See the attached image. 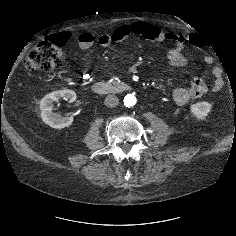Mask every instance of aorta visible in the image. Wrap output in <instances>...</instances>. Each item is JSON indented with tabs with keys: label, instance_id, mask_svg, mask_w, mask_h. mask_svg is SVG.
<instances>
[{
	"label": "aorta",
	"instance_id": "762f6f07",
	"mask_svg": "<svg viewBox=\"0 0 236 236\" xmlns=\"http://www.w3.org/2000/svg\"><path fill=\"white\" fill-rule=\"evenodd\" d=\"M123 102L126 107H133L137 102V98L134 94H127Z\"/></svg>",
	"mask_w": 236,
	"mask_h": 236
}]
</instances>
